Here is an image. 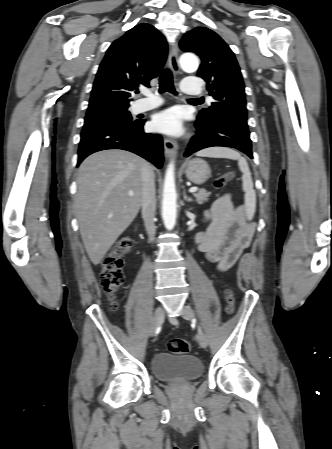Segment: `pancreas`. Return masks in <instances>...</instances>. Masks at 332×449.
<instances>
[{
	"label": "pancreas",
	"instance_id": "1",
	"mask_svg": "<svg viewBox=\"0 0 332 449\" xmlns=\"http://www.w3.org/2000/svg\"><path fill=\"white\" fill-rule=\"evenodd\" d=\"M210 192H207L206 190L202 189L199 190L197 193L194 194V197L196 198V202L198 204H203L208 201V197L210 196Z\"/></svg>",
	"mask_w": 332,
	"mask_h": 449
}]
</instances>
